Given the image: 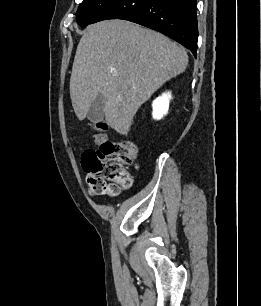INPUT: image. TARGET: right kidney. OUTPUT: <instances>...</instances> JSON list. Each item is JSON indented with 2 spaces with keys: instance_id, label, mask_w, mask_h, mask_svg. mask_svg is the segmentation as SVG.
<instances>
[{
  "instance_id": "ca27d5eb",
  "label": "right kidney",
  "mask_w": 261,
  "mask_h": 306,
  "mask_svg": "<svg viewBox=\"0 0 261 306\" xmlns=\"http://www.w3.org/2000/svg\"><path fill=\"white\" fill-rule=\"evenodd\" d=\"M171 99V94L164 93L162 96L158 97L153 101V118L161 119L163 115L167 114L169 109V100Z\"/></svg>"
}]
</instances>
